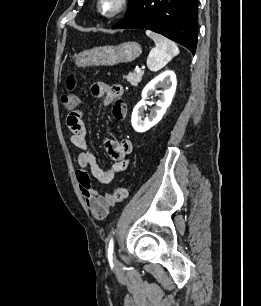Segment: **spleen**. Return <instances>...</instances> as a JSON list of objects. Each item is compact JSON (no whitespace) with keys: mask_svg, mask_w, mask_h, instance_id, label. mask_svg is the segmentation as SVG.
I'll list each match as a JSON object with an SVG mask.
<instances>
[{"mask_svg":"<svg viewBox=\"0 0 261 306\" xmlns=\"http://www.w3.org/2000/svg\"><path fill=\"white\" fill-rule=\"evenodd\" d=\"M146 35L153 39V48L147 58V66L150 71L156 72L162 69L174 56L179 54L177 45L164 36L150 30H146Z\"/></svg>","mask_w":261,"mask_h":306,"instance_id":"spleen-1","label":"spleen"}]
</instances>
